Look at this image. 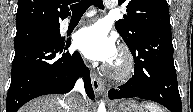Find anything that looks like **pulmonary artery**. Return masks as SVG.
I'll list each match as a JSON object with an SVG mask.
<instances>
[{
	"instance_id": "e3ab8cb5",
	"label": "pulmonary artery",
	"mask_w": 193,
	"mask_h": 112,
	"mask_svg": "<svg viewBox=\"0 0 193 112\" xmlns=\"http://www.w3.org/2000/svg\"><path fill=\"white\" fill-rule=\"evenodd\" d=\"M106 7L108 9L114 10L116 8V4L113 1H106ZM95 14V12H89L85 15V17H91Z\"/></svg>"
}]
</instances>
